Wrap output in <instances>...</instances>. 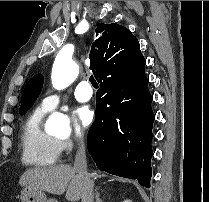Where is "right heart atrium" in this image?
I'll use <instances>...</instances> for the list:
<instances>
[{"label": "right heart atrium", "instance_id": "obj_1", "mask_svg": "<svg viewBox=\"0 0 209 202\" xmlns=\"http://www.w3.org/2000/svg\"><path fill=\"white\" fill-rule=\"evenodd\" d=\"M58 142L61 150L70 151L74 145H81L82 139L63 138L59 139Z\"/></svg>", "mask_w": 209, "mask_h": 202}]
</instances>
